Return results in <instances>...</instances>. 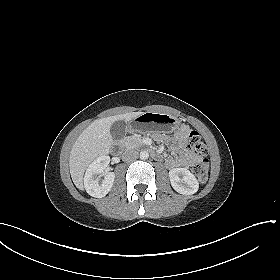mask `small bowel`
<instances>
[{
  "mask_svg": "<svg viewBox=\"0 0 280 280\" xmlns=\"http://www.w3.org/2000/svg\"><path fill=\"white\" fill-rule=\"evenodd\" d=\"M189 131V126L182 125L171 138L172 155L166 160V166L169 169L189 167L201 160V156L188 151L186 148V139Z\"/></svg>",
  "mask_w": 280,
  "mask_h": 280,
  "instance_id": "1",
  "label": "small bowel"
}]
</instances>
